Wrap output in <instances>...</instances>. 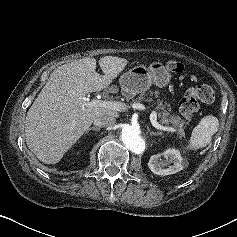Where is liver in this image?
Segmentation results:
<instances>
[{"label":"liver","mask_w":237,"mask_h":237,"mask_svg":"<svg viewBox=\"0 0 237 237\" xmlns=\"http://www.w3.org/2000/svg\"><path fill=\"white\" fill-rule=\"evenodd\" d=\"M128 60L104 56L103 75L96 59L86 57L57 67L27 112L25 137L28 148L45 164L58 163L93 121L110 109L90 106L86 95L107 88L124 70Z\"/></svg>","instance_id":"6515ba94"}]
</instances>
